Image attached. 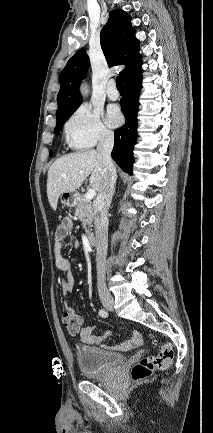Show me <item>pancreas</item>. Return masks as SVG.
Wrapping results in <instances>:
<instances>
[{"label":"pancreas","mask_w":213,"mask_h":433,"mask_svg":"<svg viewBox=\"0 0 213 433\" xmlns=\"http://www.w3.org/2000/svg\"><path fill=\"white\" fill-rule=\"evenodd\" d=\"M75 215L82 222V227L89 237L92 236V221L94 219L93 207L90 201L86 200L84 196L76 199L74 203Z\"/></svg>","instance_id":"obj_1"}]
</instances>
